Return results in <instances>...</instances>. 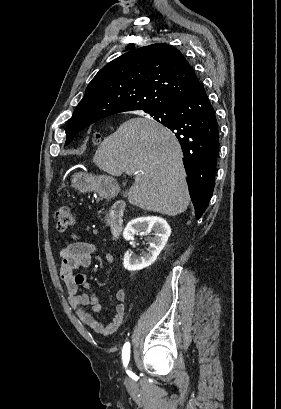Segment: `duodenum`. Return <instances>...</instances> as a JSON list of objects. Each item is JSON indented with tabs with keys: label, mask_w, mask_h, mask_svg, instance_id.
Listing matches in <instances>:
<instances>
[{
	"label": "duodenum",
	"mask_w": 281,
	"mask_h": 409,
	"mask_svg": "<svg viewBox=\"0 0 281 409\" xmlns=\"http://www.w3.org/2000/svg\"><path fill=\"white\" fill-rule=\"evenodd\" d=\"M126 204L124 201H116L112 204L107 218V225L113 237L118 238L124 226V211Z\"/></svg>",
	"instance_id": "duodenum-1"
}]
</instances>
